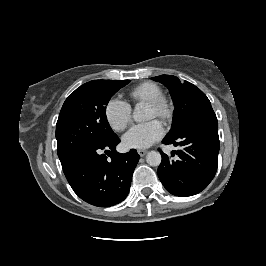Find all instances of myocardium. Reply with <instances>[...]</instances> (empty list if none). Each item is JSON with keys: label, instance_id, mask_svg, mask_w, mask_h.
Here are the masks:
<instances>
[{"label": "myocardium", "instance_id": "myocardium-1", "mask_svg": "<svg viewBox=\"0 0 266 266\" xmlns=\"http://www.w3.org/2000/svg\"><path fill=\"white\" fill-rule=\"evenodd\" d=\"M148 106L156 109L157 117L164 122L170 121L173 117V103L164 96L148 102Z\"/></svg>", "mask_w": 266, "mask_h": 266}]
</instances>
